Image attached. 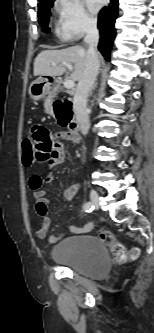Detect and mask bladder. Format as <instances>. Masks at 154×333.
<instances>
[{
    "label": "bladder",
    "instance_id": "obj_1",
    "mask_svg": "<svg viewBox=\"0 0 154 333\" xmlns=\"http://www.w3.org/2000/svg\"><path fill=\"white\" fill-rule=\"evenodd\" d=\"M51 259L85 276L101 279L109 272L106 245L95 235L86 233L68 236L53 246Z\"/></svg>",
    "mask_w": 154,
    "mask_h": 333
}]
</instances>
